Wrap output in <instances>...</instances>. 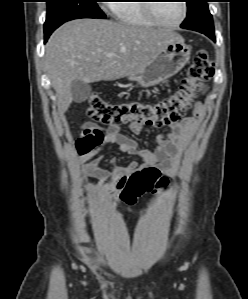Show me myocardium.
<instances>
[{"instance_id": "obj_1", "label": "myocardium", "mask_w": 248, "mask_h": 299, "mask_svg": "<svg viewBox=\"0 0 248 299\" xmlns=\"http://www.w3.org/2000/svg\"><path fill=\"white\" fill-rule=\"evenodd\" d=\"M154 2V1H150ZM182 4V16L176 23H166L160 19V17L157 15L155 8L157 3H147L145 8L148 13V16L159 26L167 27V28H176L179 27L186 19L187 13H188V7L187 3L184 0H181Z\"/></svg>"}]
</instances>
